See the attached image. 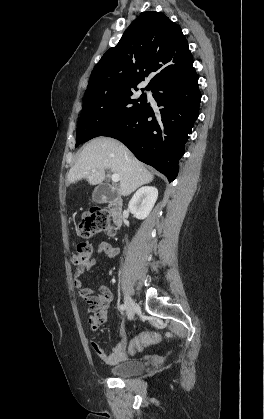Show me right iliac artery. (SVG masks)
Masks as SVG:
<instances>
[{
    "label": "right iliac artery",
    "instance_id": "82829eb1",
    "mask_svg": "<svg viewBox=\"0 0 264 419\" xmlns=\"http://www.w3.org/2000/svg\"><path fill=\"white\" fill-rule=\"evenodd\" d=\"M125 309H126V306L124 305V304H122V305H120V310L123 312V311H125Z\"/></svg>",
    "mask_w": 264,
    "mask_h": 419
}]
</instances>
